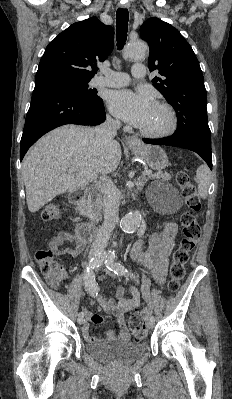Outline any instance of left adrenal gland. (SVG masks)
I'll use <instances>...</instances> for the list:
<instances>
[{
  "label": "left adrenal gland",
  "instance_id": "a2214340",
  "mask_svg": "<svg viewBox=\"0 0 232 399\" xmlns=\"http://www.w3.org/2000/svg\"><path fill=\"white\" fill-rule=\"evenodd\" d=\"M144 184H146L145 178H142V176H141V178H139L138 184H137V188H138V190H140V192H142V188H144Z\"/></svg>",
  "mask_w": 232,
  "mask_h": 399
}]
</instances>
